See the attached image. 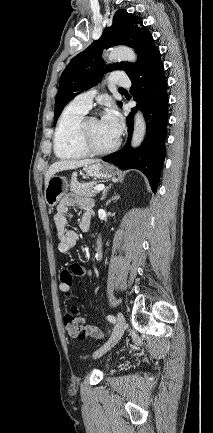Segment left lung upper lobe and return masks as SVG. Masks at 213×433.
<instances>
[{
	"mask_svg": "<svg viewBox=\"0 0 213 433\" xmlns=\"http://www.w3.org/2000/svg\"><path fill=\"white\" fill-rule=\"evenodd\" d=\"M115 45L134 48L138 56L137 62H121L106 66L102 59V51ZM154 48L156 46L151 33L137 16L126 10L116 11L112 25L103 31L100 39L77 54L63 71L55 100L54 124L73 97L97 84L102 70L120 69L130 77L142 66Z\"/></svg>",
	"mask_w": 213,
	"mask_h": 433,
	"instance_id": "left-lung-upper-lobe-1",
	"label": "left lung upper lobe"
}]
</instances>
